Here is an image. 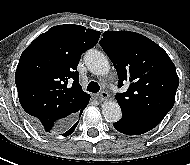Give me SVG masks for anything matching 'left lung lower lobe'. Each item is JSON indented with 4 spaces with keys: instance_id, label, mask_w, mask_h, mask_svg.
<instances>
[{
    "instance_id": "left-lung-lower-lobe-1",
    "label": "left lung lower lobe",
    "mask_w": 190,
    "mask_h": 165,
    "mask_svg": "<svg viewBox=\"0 0 190 165\" xmlns=\"http://www.w3.org/2000/svg\"><path fill=\"white\" fill-rule=\"evenodd\" d=\"M162 119L156 117L134 115L122 112V118L113 123V126L119 132L126 135L144 134L156 127Z\"/></svg>"
}]
</instances>
